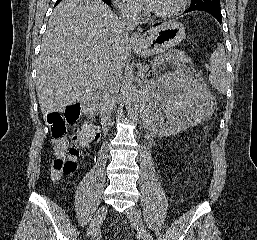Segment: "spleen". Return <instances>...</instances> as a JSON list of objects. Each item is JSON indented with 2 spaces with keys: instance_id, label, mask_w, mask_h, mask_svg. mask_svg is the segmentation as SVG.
I'll list each match as a JSON object with an SVG mask.
<instances>
[{
  "instance_id": "spleen-1",
  "label": "spleen",
  "mask_w": 257,
  "mask_h": 240,
  "mask_svg": "<svg viewBox=\"0 0 257 240\" xmlns=\"http://www.w3.org/2000/svg\"><path fill=\"white\" fill-rule=\"evenodd\" d=\"M209 81L220 93H225L228 88V74L226 71V56L222 44H218L217 49L210 58Z\"/></svg>"
}]
</instances>
